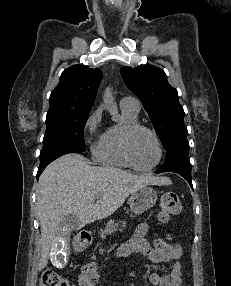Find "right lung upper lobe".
<instances>
[{
    "label": "right lung upper lobe",
    "instance_id": "right-lung-upper-lobe-1",
    "mask_svg": "<svg viewBox=\"0 0 231 286\" xmlns=\"http://www.w3.org/2000/svg\"><path fill=\"white\" fill-rule=\"evenodd\" d=\"M101 79L98 68L74 65L65 69L50 95L49 109L91 110Z\"/></svg>",
    "mask_w": 231,
    "mask_h": 286
}]
</instances>
